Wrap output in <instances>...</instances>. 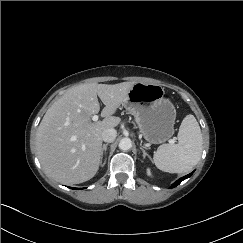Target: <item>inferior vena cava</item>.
Wrapping results in <instances>:
<instances>
[{"instance_id":"602c4592","label":"inferior vena cava","mask_w":243,"mask_h":243,"mask_svg":"<svg viewBox=\"0 0 243 243\" xmlns=\"http://www.w3.org/2000/svg\"><path fill=\"white\" fill-rule=\"evenodd\" d=\"M117 132L113 128L106 129L102 132V140L107 143H111L115 140Z\"/></svg>"}]
</instances>
